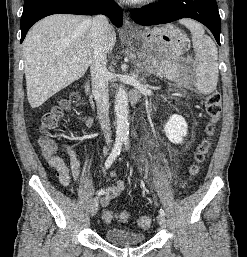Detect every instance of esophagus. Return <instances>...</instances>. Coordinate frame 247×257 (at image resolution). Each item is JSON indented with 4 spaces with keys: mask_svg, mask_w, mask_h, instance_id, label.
<instances>
[{
    "mask_svg": "<svg viewBox=\"0 0 247 257\" xmlns=\"http://www.w3.org/2000/svg\"><path fill=\"white\" fill-rule=\"evenodd\" d=\"M123 28L126 32H136L138 29L134 26L128 18L124 19Z\"/></svg>",
    "mask_w": 247,
    "mask_h": 257,
    "instance_id": "obj_1",
    "label": "esophagus"
}]
</instances>
